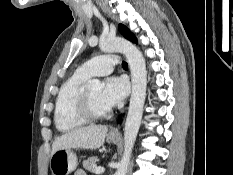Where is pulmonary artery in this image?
I'll return each instance as SVG.
<instances>
[{
    "mask_svg": "<svg viewBox=\"0 0 233 175\" xmlns=\"http://www.w3.org/2000/svg\"><path fill=\"white\" fill-rule=\"evenodd\" d=\"M118 64L119 59L116 56L101 55L82 64L76 73L86 78L105 76L110 74Z\"/></svg>",
    "mask_w": 233,
    "mask_h": 175,
    "instance_id": "1",
    "label": "pulmonary artery"
}]
</instances>
